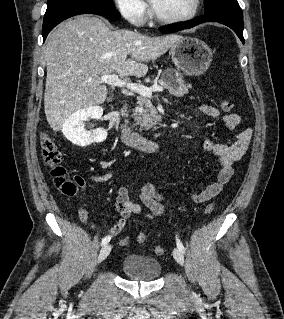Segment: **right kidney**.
Returning a JSON list of instances; mask_svg holds the SVG:
<instances>
[{
  "label": "right kidney",
  "instance_id": "obj_1",
  "mask_svg": "<svg viewBox=\"0 0 284 319\" xmlns=\"http://www.w3.org/2000/svg\"><path fill=\"white\" fill-rule=\"evenodd\" d=\"M101 115L102 109L96 106L79 109L65 122L62 132L68 140L77 146L84 147L93 142H103L108 135L105 129L97 128L93 131H87L84 127V121L89 118L100 117Z\"/></svg>",
  "mask_w": 284,
  "mask_h": 319
}]
</instances>
